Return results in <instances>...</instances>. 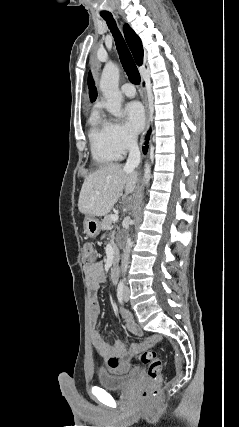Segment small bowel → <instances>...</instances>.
<instances>
[{
    "label": "small bowel",
    "mask_w": 239,
    "mask_h": 427,
    "mask_svg": "<svg viewBox=\"0 0 239 427\" xmlns=\"http://www.w3.org/2000/svg\"><path fill=\"white\" fill-rule=\"evenodd\" d=\"M85 274L90 290V308L89 319L92 325L91 340L96 351L106 363L108 370L114 374H123L130 370L132 357L138 351L152 346L157 337L152 336L139 343L128 345L125 340L118 339L110 343L104 339L101 332L95 328L100 314V303L97 298V292L101 283L105 281L104 266L101 262L85 268ZM120 315L124 321L125 327L129 333L134 336H141L142 330L134 321L131 313L125 309H120Z\"/></svg>",
    "instance_id": "1"
}]
</instances>
